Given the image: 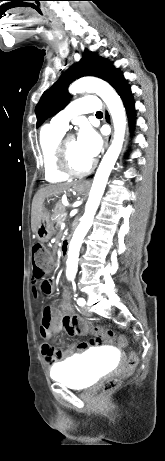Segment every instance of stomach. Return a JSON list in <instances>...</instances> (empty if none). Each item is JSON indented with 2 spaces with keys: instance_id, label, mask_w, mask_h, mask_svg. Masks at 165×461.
Here are the masks:
<instances>
[{
  "instance_id": "1",
  "label": "stomach",
  "mask_w": 165,
  "mask_h": 461,
  "mask_svg": "<svg viewBox=\"0 0 165 461\" xmlns=\"http://www.w3.org/2000/svg\"><path fill=\"white\" fill-rule=\"evenodd\" d=\"M74 190L82 194L85 192V187L83 184L79 183L75 186ZM53 232L54 228L50 215L46 210H44L39 227L35 232L36 237L40 242H47L52 237Z\"/></svg>"
}]
</instances>
